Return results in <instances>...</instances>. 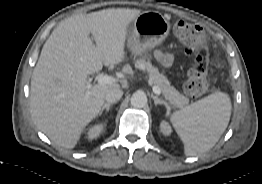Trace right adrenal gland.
<instances>
[{"mask_svg":"<svg viewBox=\"0 0 262 184\" xmlns=\"http://www.w3.org/2000/svg\"><path fill=\"white\" fill-rule=\"evenodd\" d=\"M112 105H113L112 103H105V104L103 105L101 111L99 112V116H101V115L103 114L104 110H105L106 112H109L110 107H111Z\"/></svg>","mask_w":262,"mask_h":184,"instance_id":"obj_1","label":"right adrenal gland"}]
</instances>
